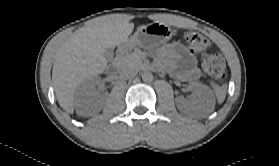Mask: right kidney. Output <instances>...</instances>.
Segmentation results:
<instances>
[{"label": "right kidney", "instance_id": "ca27d5eb", "mask_svg": "<svg viewBox=\"0 0 279 166\" xmlns=\"http://www.w3.org/2000/svg\"><path fill=\"white\" fill-rule=\"evenodd\" d=\"M99 83V80L84 82L83 88L85 90V93H83L82 91L77 93V103L80 107V111L87 109L90 104L95 103L98 101V99L102 98L92 92L94 87Z\"/></svg>", "mask_w": 279, "mask_h": 166}]
</instances>
